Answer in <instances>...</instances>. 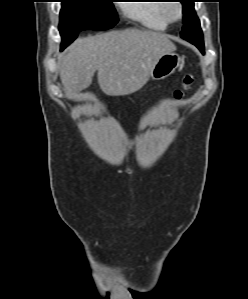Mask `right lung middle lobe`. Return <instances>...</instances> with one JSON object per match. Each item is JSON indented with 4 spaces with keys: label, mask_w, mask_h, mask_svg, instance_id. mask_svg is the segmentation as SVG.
<instances>
[{
    "label": "right lung middle lobe",
    "mask_w": 248,
    "mask_h": 299,
    "mask_svg": "<svg viewBox=\"0 0 248 299\" xmlns=\"http://www.w3.org/2000/svg\"><path fill=\"white\" fill-rule=\"evenodd\" d=\"M113 0H61L59 31L61 48L69 45L82 30H107L112 28L118 17Z\"/></svg>",
    "instance_id": "1"
}]
</instances>
